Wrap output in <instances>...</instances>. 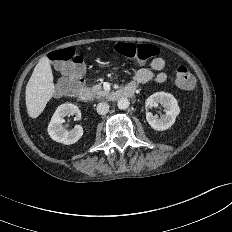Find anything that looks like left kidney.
Instances as JSON below:
<instances>
[{
  "label": "left kidney",
  "instance_id": "1",
  "mask_svg": "<svg viewBox=\"0 0 232 232\" xmlns=\"http://www.w3.org/2000/svg\"><path fill=\"white\" fill-rule=\"evenodd\" d=\"M160 103L165 108V115L156 118L152 113L147 112L146 119L149 125L158 131L170 128L180 112L177 99L170 93L156 92L149 96L145 102L146 107Z\"/></svg>",
  "mask_w": 232,
  "mask_h": 232
}]
</instances>
